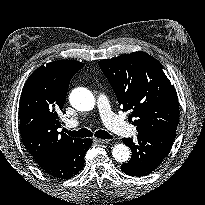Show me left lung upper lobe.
Returning <instances> with one entry per match:
<instances>
[{"mask_svg":"<svg viewBox=\"0 0 205 205\" xmlns=\"http://www.w3.org/2000/svg\"><path fill=\"white\" fill-rule=\"evenodd\" d=\"M98 64L139 134L176 130L179 122L177 93L154 57L138 51L100 60Z\"/></svg>","mask_w":205,"mask_h":205,"instance_id":"obj_1","label":"left lung upper lobe"}]
</instances>
